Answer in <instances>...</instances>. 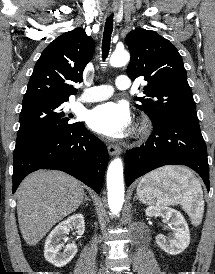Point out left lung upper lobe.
Returning <instances> with one entry per match:
<instances>
[{"instance_id":"left-lung-upper-lobe-1","label":"left lung upper lobe","mask_w":215,"mask_h":274,"mask_svg":"<svg viewBox=\"0 0 215 274\" xmlns=\"http://www.w3.org/2000/svg\"><path fill=\"white\" fill-rule=\"evenodd\" d=\"M131 61L127 74L132 80L144 76L146 97H138L152 122L178 119L199 124L196 105L182 58L173 44L155 31L137 28L128 33Z\"/></svg>"}]
</instances>
